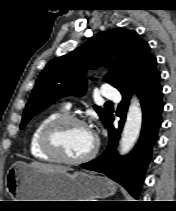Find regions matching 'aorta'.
<instances>
[{
	"mask_svg": "<svg viewBox=\"0 0 176 211\" xmlns=\"http://www.w3.org/2000/svg\"><path fill=\"white\" fill-rule=\"evenodd\" d=\"M142 126V109L137 97L133 96L120 141V154H127L137 141Z\"/></svg>",
	"mask_w": 176,
	"mask_h": 211,
	"instance_id": "aorta-1",
	"label": "aorta"
}]
</instances>
